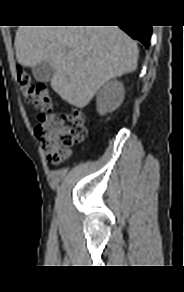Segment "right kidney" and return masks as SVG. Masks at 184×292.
<instances>
[{
    "instance_id": "obj_1",
    "label": "right kidney",
    "mask_w": 184,
    "mask_h": 292,
    "mask_svg": "<svg viewBox=\"0 0 184 292\" xmlns=\"http://www.w3.org/2000/svg\"><path fill=\"white\" fill-rule=\"evenodd\" d=\"M124 99V87L119 81H111L103 86L97 95V111L100 115L114 111Z\"/></svg>"
}]
</instances>
